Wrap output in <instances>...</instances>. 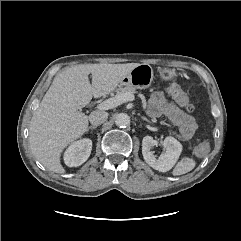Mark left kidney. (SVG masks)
Returning a JSON list of instances; mask_svg holds the SVG:
<instances>
[{"label": "left kidney", "instance_id": "obj_1", "mask_svg": "<svg viewBox=\"0 0 241 241\" xmlns=\"http://www.w3.org/2000/svg\"><path fill=\"white\" fill-rule=\"evenodd\" d=\"M159 142L154 140L151 136H145L142 140V155L145 162L153 169L159 172H167L175 165L181 152L182 145L175 138L169 136L161 142L165 149L164 154L161 157L156 158L152 151L154 146H157Z\"/></svg>", "mask_w": 241, "mask_h": 241}]
</instances>
